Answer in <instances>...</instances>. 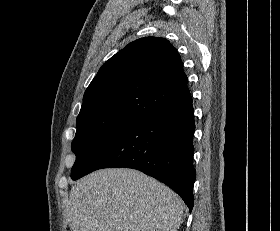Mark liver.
<instances>
[{
  "mask_svg": "<svg viewBox=\"0 0 280 231\" xmlns=\"http://www.w3.org/2000/svg\"><path fill=\"white\" fill-rule=\"evenodd\" d=\"M183 201L137 169H98L75 181L66 203L71 231H177Z\"/></svg>",
  "mask_w": 280,
  "mask_h": 231,
  "instance_id": "6515ba94",
  "label": "liver"
}]
</instances>
